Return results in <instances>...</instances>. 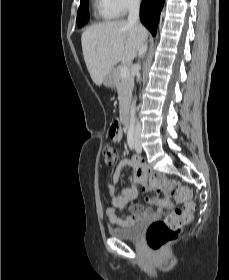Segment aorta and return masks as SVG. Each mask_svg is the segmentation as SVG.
<instances>
[{
    "label": "aorta",
    "instance_id": "762f6f07",
    "mask_svg": "<svg viewBox=\"0 0 229 280\" xmlns=\"http://www.w3.org/2000/svg\"><path fill=\"white\" fill-rule=\"evenodd\" d=\"M134 123H135V101H133L131 109H130V128L134 127Z\"/></svg>",
    "mask_w": 229,
    "mask_h": 280
}]
</instances>
